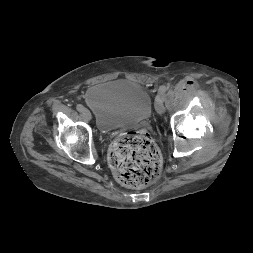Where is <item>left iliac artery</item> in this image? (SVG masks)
<instances>
[{
	"label": "left iliac artery",
	"instance_id": "left-iliac-artery-1",
	"mask_svg": "<svg viewBox=\"0 0 253 253\" xmlns=\"http://www.w3.org/2000/svg\"><path fill=\"white\" fill-rule=\"evenodd\" d=\"M167 90V87L162 85L160 88H159V93L162 94V96H164L165 92Z\"/></svg>",
	"mask_w": 253,
	"mask_h": 253
}]
</instances>
